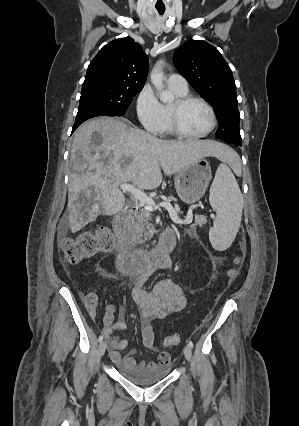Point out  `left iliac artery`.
<instances>
[{
    "label": "left iliac artery",
    "instance_id": "obj_1",
    "mask_svg": "<svg viewBox=\"0 0 299 426\" xmlns=\"http://www.w3.org/2000/svg\"><path fill=\"white\" fill-rule=\"evenodd\" d=\"M188 346L190 347V348H193V342L191 341V340H189V342H188Z\"/></svg>",
    "mask_w": 299,
    "mask_h": 426
}]
</instances>
